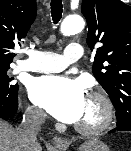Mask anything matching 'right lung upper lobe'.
<instances>
[{
	"label": "right lung upper lobe",
	"instance_id": "1",
	"mask_svg": "<svg viewBox=\"0 0 131 151\" xmlns=\"http://www.w3.org/2000/svg\"><path fill=\"white\" fill-rule=\"evenodd\" d=\"M35 17V0H0V65H10Z\"/></svg>",
	"mask_w": 131,
	"mask_h": 151
}]
</instances>
